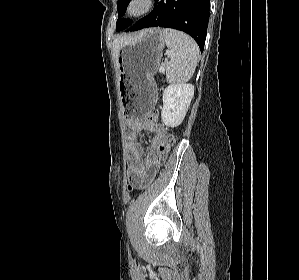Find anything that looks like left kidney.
<instances>
[{"label": "left kidney", "instance_id": "1", "mask_svg": "<svg viewBox=\"0 0 299 280\" xmlns=\"http://www.w3.org/2000/svg\"><path fill=\"white\" fill-rule=\"evenodd\" d=\"M194 96L192 84H172L163 91L161 118L168 127L179 126L188 111Z\"/></svg>", "mask_w": 299, "mask_h": 280}]
</instances>
